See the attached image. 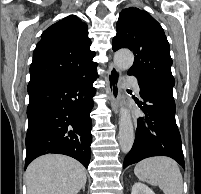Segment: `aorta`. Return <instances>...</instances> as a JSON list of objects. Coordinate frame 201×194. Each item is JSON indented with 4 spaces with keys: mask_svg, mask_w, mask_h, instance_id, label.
<instances>
[{
    "mask_svg": "<svg viewBox=\"0 0 201 194\" xmlns=\"http://www.w3.org/2000/svg\"><path fill=\"white\" fill-rule=\"evenodd\" d=\"M134 61L131 51L123 49L114 54V64L120 71L129 69ZM119 145L123 153H128L134 142V129L129 109L122 107L119 117Z\"/></svg>",
    "mask_w": 201,
    "mask_h": 194,
    "instance_id": "obj_1",
    "label": "aorta"
}]
</instances>
